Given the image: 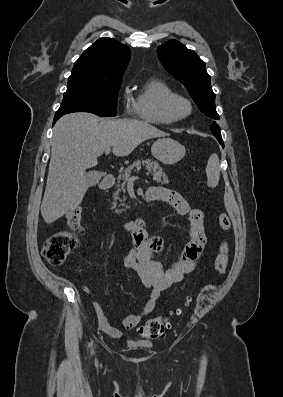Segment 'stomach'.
Instances as JSON below:
<instances>
[{
  "label": "stomach",
  "mask_w": 283,
  "mask_h": 397,
  "mask_svg": "<svg viewBox=\"0 0 283 397\" xmlns=\"http://www.w3.org/2000/svg\"><path fill=\"white\" fill-rule=\"evenodd\" d=\"M153 156L166 165H172L185 156V147L171 138H161L151 147Z\"/></svg>",
  "instance_id": "1"
}]
</instances>
